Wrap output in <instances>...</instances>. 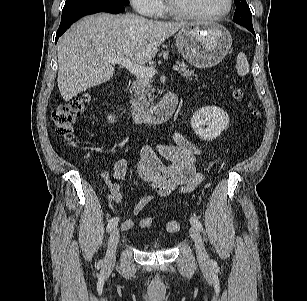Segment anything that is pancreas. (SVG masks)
Instances as JSON below:
<instances>
[{"mask_svg": "<svg viewBox=\"0 0 307 301\" xmlns=\"http://www.w3.org/2000/svg\"><path fill=\"white\" fill-rule=\"evenodd\" d=\"M180 66L179 73L186 77L191 78L192 76H196L195 72L192 69H188V66L185 64L184 61L177 62ZM134 93L135 97L138 98V100L143 105H149L154 101L153 94L155 92L153 87V81L151 77H141L138 78L133 83Z\"/></svg>", "mask_w": 307, "mask_h": 301, "instance_id": "obj_1", "label": "pancreas"}]
</instances>
